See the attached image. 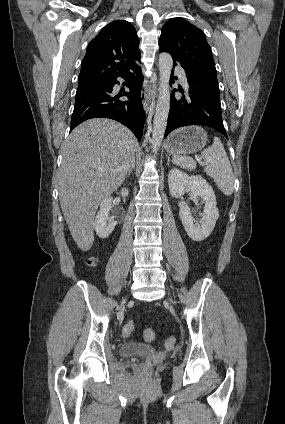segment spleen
Segmentation results:
<instances>
[{
  "mask_svg": "<svg viewBox=\"0 0 285 424\" xmlns=\"http://www.w3.org/2000/svg\"><path fill=\"white\" fill-rule=\"evenodd\" d=\"M205 172L213 178L219 190L230 196L234 189V175L228 156L220 139L214 137L213 144L202 152ZM173 162L185 169H195L196 162L191 157L174 155Z\"/></svg>",
  "mask_w": 285,
  "mask_h": 424,
  "instance_id": "3e777b00",
  "label": "spleen"
}]
</instances>
